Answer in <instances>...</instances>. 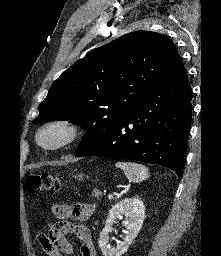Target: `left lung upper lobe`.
I'll list each match as a JSON object with an SVG mask.
<instances>
[{
    "instance_id": "1",
    "label": "left lung upper lobe",
    "mask_w": 221,
    "mask_h": 256,
    "mask_svg": "<svg viewBox=\"0 0 221 256\" xmlns=\"http://www.w3.org/2000/svg\"><path fill=\"white\" fill-rule=\"evenodd\" d=\"M183 68L174 44L150 31L125 34L88 52L64 71L40 103L35 122L70 120L93 143L158 85Z\"/></svg>"
}]
</instances>
